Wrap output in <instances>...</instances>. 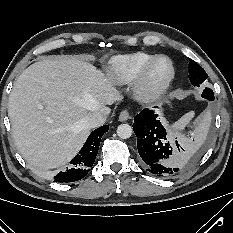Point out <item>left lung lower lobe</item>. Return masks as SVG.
<instances>
[{
  "instance_id": "obj_1",
  "label": "left lung lower lobe",
  "mask_w": 233,
  "mask_h": 233,
  "mask_svg": "<svg viewBox=\"0 0 233 233\" xmlns=\"http://www.w3.org/2000/svg\"><path fill=\"white\" fill-rule=\"evenodd\" d=\"M213 91L205 88L202 97L213 99ZM153 110L143 109L134 117L133 130L137 136V149L147 171L168 178L190 167L202 154L197 145H185L177 140L169 141L166 130ZM194 141V139H193Z\"/></svg>"
}]
</instances>
